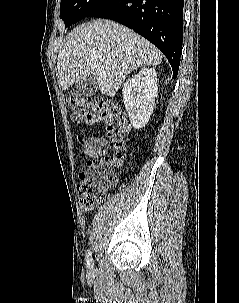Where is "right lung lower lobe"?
<instances>
[{
  "mask_svg": "<svg viewBox=\"0 0 239 303\" xmlns=\"http://www.w3.org/2000/svg\"><path fill=\"white\" fill-rule=\"evenodd\" d=\"M184 0H106L88 16L117 21L142 35L166 56L178 74Z\"/></svg>",
  "mask_w": 239,
  "mask_h": 303,
  "instance_id": "right-lung-lower-lobe-1",
  "label": "right lung lower lobe"
}]
</instances>
